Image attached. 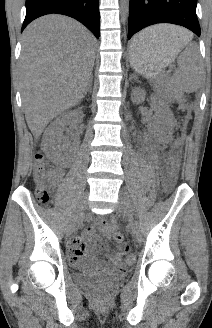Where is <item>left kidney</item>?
I'll return each instance as SVG.
<instances>
[{"label": "left kidney", "instance_id": "5707ae66", "mask_svg": "<svg viewBox=\"0 0 212 328\" xmlns=\"http://www.w3.org/2000/svg\"><path fill=\"white\" fill-rule=\"evenodd\" d=\"M145 93L141 89L134 91L133 101L140 103L144 100ZM152 107L155 111V116L152 119L156 131L159 133L160 141H167L171 138L172 132L176 125L174 115L168 105L164 104L156 95L152 96Z\"/></svg>", "mask_w": 212, "mask_h": 328}]
</instances>
